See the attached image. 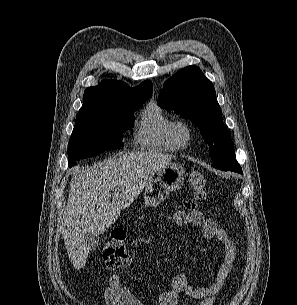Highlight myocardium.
I'll list each match as a JSON object with an SVG mask.
<instances>
[{"instance_id":"f54148a6","label":"myocardium","mask_w":297,"mask_h":305,"mask_svg":"<svg viewBox=\"0 0 297 305\" xmlns=\"http://www.w3.org/2000/svg\"><path fill=\"white\" fill-rule=\"evenodd\" d=\"M192 134V127L188 122L178 120L173 123L172 135L179 147H186L192 139Z\"/></svg>"}]
</instances>
